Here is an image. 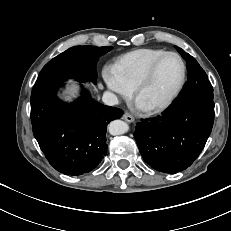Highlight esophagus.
Masks as SVG:
<instances>
[{
  "label": "esophagus",
  "instance_id": "esophagus-1",
  "mask_svg": "<svg viewBox=\"0 0 231 231\" xmlns=\"http://www.w3.org/2000/svg\"><path fill=\"white\" fill-rule=\"evenodd\" d=\"M122 119L129 123L134 121V117L131 116L129 113H124Z\"/></svg>",
  "mask_w": 231,
  "mask_h": 231
}]
</instances>
